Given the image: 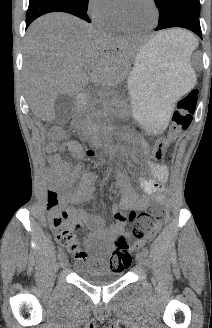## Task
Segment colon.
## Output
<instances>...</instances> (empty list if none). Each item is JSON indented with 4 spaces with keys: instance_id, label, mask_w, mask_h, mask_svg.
<instances>
[{
    "instance_id": "obj_1",
    "label": "colon",
    "mask_w": 212,
    "mask_h": 328,
    "mask_svg": "<svg viewBox=\"0 0 212 328\" xmlns=\"http://www.w3.org/2000/svg\"><path fill=\"white\" fill-rule=\"evenodd\" d=\"M198 102V91L193 89L182 96L176 110L172 115V122L168 134L158 139L153 148V156L157 162H160L173 141L185 132L191 125ZM49 139L53 144H58L64 139V132L60 128H53L49 133ZM93 155V151H88ZM58 205L57 194L54 191L48 193V209L54 210ZM141 215L149 218L150 223L143 226H134L131 235H121L116 240L117 248L113 252L112 262H116L118 267L127 269L131 265L130 250L142 245L149 238L154 236L161 226L162 210L159 203L150 204L145 208ZM139 216L132 212L130 219L134 220ZM67 218V213L55 214L52 220L53 226L58 230V239L71 251L76 257H80L83 251L76 238L75 232L70 227L63 226Z\"/></svg>"
}]
</instances>
